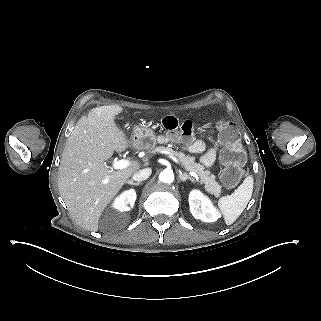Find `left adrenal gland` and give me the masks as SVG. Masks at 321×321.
I'll use <instances>...</instances> for the list:
<instances>
[{"label":"left adrenal gland","mask_w":321,"mask_h":321,"mask_svg":"<svg viewBox=\"0 0 321 321\" xmlns=\"http://www.w3.org/2000/svg\"><path fill=\"white\" fill-rule=\"evenodd\" d=\"M179 179L181 181H186L187 179L191 180L193 183L195 182L194 178L190 177L187 173L179 174Z\"/></svg>","instance_id":"a2214340"}]
</instances>
